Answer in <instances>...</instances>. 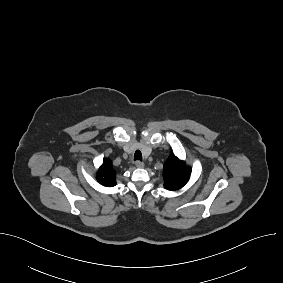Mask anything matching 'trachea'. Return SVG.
I'll return each mask as SVG.
<instances>
[{
    "mask_svg": "<svg viewBox=\"0 0 283 283\" xmlns=\"http://www.w3.org/2000/svg\"><path fill=\"white\" fill-rule=\"evenodd\" d=\"M134 160H139V161L142 160V153H141L139 150H137V151L135 152V154H134Z\"/></svg>",
    "mask_w": 283,
    "mask_h": 283,
    "instance_id": "3493384b",
    "label": "trachea"
}]
</instances>
